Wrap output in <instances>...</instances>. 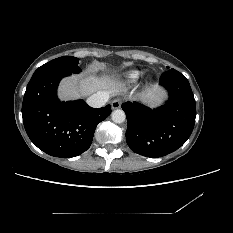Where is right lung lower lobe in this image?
<instances>
[{"instance_id": "1", "label": "right lung lower lobe", "mask_w": 233, "mask_h": 233, "mask_svg": "<svg viewBox=\"0 0 233 233\" xmlns=\"http://www.w3.org/2000/svg\"><path fill=\"white\" fill-rule=\"evenodd\" d=\"M63 70L33 75L22 105L23 123L30 140L54 157H75L90 147L97 125L111 113V106L92 108L83 100L61 102Z\"/></svg>"}]
</instances>
